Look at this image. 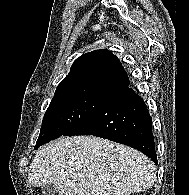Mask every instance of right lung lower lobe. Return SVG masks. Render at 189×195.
Segmentation results:
<instances>
[{
    "instance_id": "right-lung-lower-lobe-1",
    "label": "right lung lower lobe",
    "mask_w": 189,
    "mask_h": 195,
    "mask_svg": "<svg viewBox=\"0 0 189 195\" xmlns=\"http://www.w3.org/2000/svg\"><path fill=\"white\" fill-rule=\"evenodd\" d=\"M92 135L135 148L157 165L152 118L129 85L109 94L77 127L64 136Z\"/></svg>"
}]
</instances>
